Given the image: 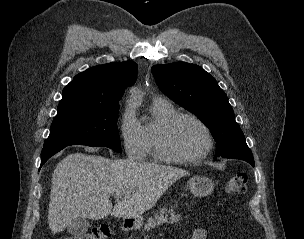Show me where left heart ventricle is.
Returning <instances> with one entry per match:
<instances>
[{
	"label": "left heart ventricle",
	"mask_w": 304,
	"mask_h": 239,
	"mask_svg": "<svg viewBox=\"0 0 304 239\" xmlns=\"http://www.w3.org/2000/svg\"><path fill=\"white\" fill-rule=\"evenodd\" d=\"M169 145L179 156H193L206 146V136L202 128L191 119L180 120L173 128Z\"/></svg>",
	"instance_id": "1"
}]
</instances>
